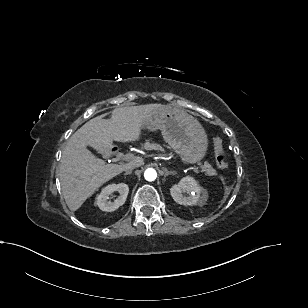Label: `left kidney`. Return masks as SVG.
I'll use <instances>...</instances> for the list:
<instances>
[{"mask_svg": "<svg viewBox=\"0 0 308 308\" xmlns=\"http://www.w3.org/2000/svg\"><path fill=\"white\" fill-rule=\"evenodd\" d=\"M174 201L181 205H196L206 198V193L192 177H184L170 189ZM188 195L185 196L184 194Z\"/></svg>", "mask_w": 308, "mask_h": 308, "instance_id": "left-kidney-1", "label": "left kidney"}]
</instances>
